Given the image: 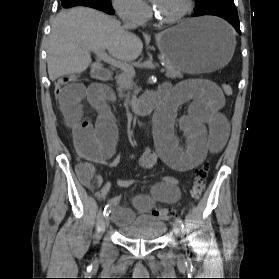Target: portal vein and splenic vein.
Here are the masks:
<instances>
[{
  "mask_svg": "<svg viewBox=\"0 0 279 279\" xmlns=\"http://www.w3.org/2000/svg\"><path fill=\"white\" fill-rule=\"evenodd\" d=\"M90 50L93 51L100 60H102L104 62H107V63L125 71V72H130L133 75H135V71H134L133 67L127 65L126 63H124L121 60L114 59V58L110 57L106 53L105 50H103V49H90ZM162 65H164V64L162 63ZM161 71H164V69H162Z\"/></svg>",
  "mask_w": 279,
  "mask_h": 279,
  "instance_id": "1",
  "label": "portal vein and splenic vein"
}]
</instances>
